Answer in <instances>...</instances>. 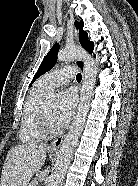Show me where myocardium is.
Listing matches in <instances>:
<instances>
[{
  "label": "myocardium",
  "mask_w": 138,
  "mask_h": 186,
  "mask_svg": "<svg viewBox=\"0 0 138 186\" xmlns=\"http://www.w3.org/2000/svg\"><path fill=\"white\" fill-rule=\"evenodd\" d=\"M37 126L39 130L45 135V136H52V135H58L61 133L62 129L59 128H52L47 120V113H46V104L43 103L42 107L39 110L38 117H37Z\"/></svg>",
  "instance_id": "obj_1"
}]
</instances>
